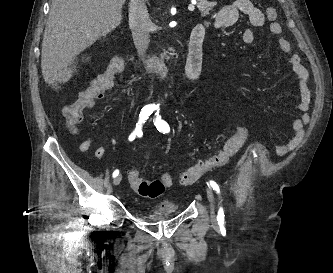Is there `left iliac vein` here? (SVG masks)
<instances>
[{
  "instance_id": "left-iliac-vein-1",
  "label": "left iliac vein",
  "mask_w": 333,
  "mask_h": 273,
  "mask_svg": "<svg viewBox=\"0 0 333 273\" xmlns=\"http://www.w3.org/2000/svg\"><path fill=\"white\" fill-rule=\"evenodd\" d=\"M207 197L210 201V221L212 225H217V219L215 214V202H214V195L210 187H206L205 189Z\"/></svg>"
}]
</instances>
